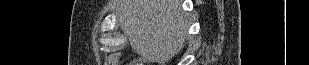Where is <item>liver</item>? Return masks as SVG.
Listing matches in <instances>:
<instances>
[{
    "label": "liver",
    "instance_id": "obj_1",
    "mask_svg": "<svg viewBox=\"0 0 309 65\" xmlns=\"http://www.w3.org/2000/svg\"><path fill=\"white\" fill-rule=\"evenodd\" d=\"M118 22L132 49L163 65L185 46L188 23L182 0H117Z\"/></svg>",
    "mask_w": 309,
    "mask_h": 65
}]
</instances>
